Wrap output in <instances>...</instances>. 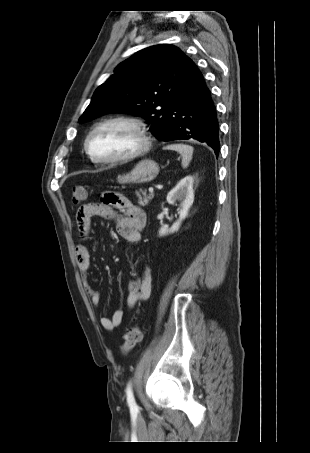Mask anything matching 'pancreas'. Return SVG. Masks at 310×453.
Instances as JSON below:
<instances>
[{"instance_id": "1", "label": "pancreas", "mask_w": 310, "mask_h": 453, "mask_svg": "<svg viewBox=\"0 0 310 453\" xmlns=\"http://www.w3.org/2000/svg\"><path fill=\"white\" fill-rule=\"evenodd\" d=\"M137 197H138V204L140 206H147L149 202L154 198V194H146V190H140V192H137Z\"/></svg>"}]
</instances>
